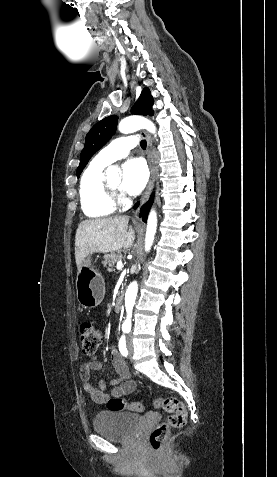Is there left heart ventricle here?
<instances>
[{"label": "left heart ventricle", "mask_w": 277, "mask_h": 477, "mask_svg": "<svg viewBox=\"0 0 277 477\" xmlns=\"http://www.w3.org/2000/svg\"><path fill=\"white\" fill-rule=\"evenodd\" d=\"M109 182L111 183L112 186L115 188H119L121 184V178L119 176H111L108 177Z\"/></svg>", "instance_id": "b2bd125f"}]
</instances>
